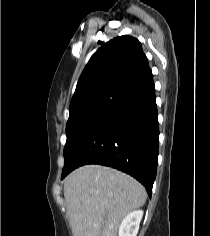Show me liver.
Instances as JSON below:
<instances>
[{"label": "liver", "mask_w": 210, "mask_h": 236, "mask_svg": "<svg viewBox=\"0 0 210 236\" xmlns=\"http://www.w3.org/2000/svg\"><path fill=\"white\" fill-rule=\"evenodd\" d=\"M73 236H117L121 220L144 205L145 188L129 175L100 165H85L64 182Z\"/></svg>", "instance_id": "6515ba94"}]
</instances>
